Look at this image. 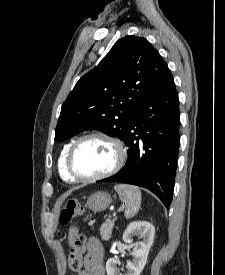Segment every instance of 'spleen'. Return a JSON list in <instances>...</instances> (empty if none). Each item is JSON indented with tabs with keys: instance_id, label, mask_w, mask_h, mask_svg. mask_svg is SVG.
Instances as JSON below:
<instances>
[{
	"instance_id": "obj_1",
	"label": "spleen",
	"mask_w": 225,
	"mask_h": 275,
	"mask_svg": "<svg viewBox=\"0 0 225 275\" xmlns=\"http://www.w3.org/2000/svg\"><path fill=\"white\" fill-rule=\"evenodd\" d=\"M120 200L125 204V218H133L141 206V191L138 187L128 184H119L114 186Z\"/></svg>"
}]
</instances>
